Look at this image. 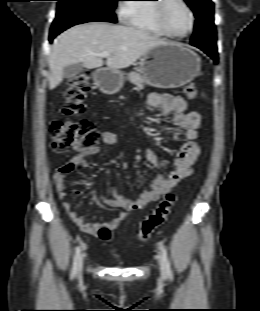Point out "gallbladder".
<instances>
[{"instance_id": "gallbladder-1", "label": "gallbladder", "mask_w": 260, "mask_h": 311, "mask_svg": "<svg viewBox=\"0 0 260 311\" xmlns=\"http://www.w3.org/2000/svg\"><path fill=\"white\" fill-rule=\"evenodd\" d=\"M84 70L82 63L71 64L63 69V78L70 79L78 75Z\"/></svg>"}]
</instances>
